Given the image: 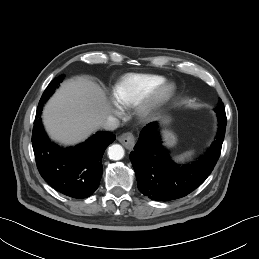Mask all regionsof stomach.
<instances>
[{"label":"stomach","mask_w":259,"mask_h":259,"mask_svg":"<svg viewBox=\"0 0 259 259\" xmlns=\"http://www.w3.org/2000/svg\"><path fill=\"white\" fill-rule=\"evenodd\" d=\"M164 138H165V141L168 145H172L175 143V137L174 135L169 132V131H165L164 132Z\"/></svg>","instance_id":"1"}]
</instances>
